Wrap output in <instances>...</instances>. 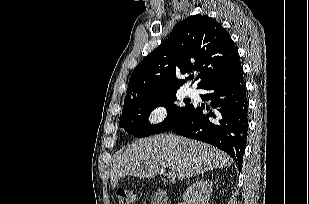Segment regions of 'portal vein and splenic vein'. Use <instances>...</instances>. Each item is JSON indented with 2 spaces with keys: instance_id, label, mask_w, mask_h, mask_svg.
Listing matches in <instances>:
<instances>
[{
  "instance_id": "portal-vein-and-splenic-vein-1",
  "label": "portal vein and splenic vein",
  "mask_w": 309,
  "mask_h": 204,
  "mask_svg": "<svg viewBox=\"0 0 309 204\" xmlns=\"http://www.w3.org/2000/svg\"><path fill=\"white\" fill-rule=\"evenodd\" d=\"M162 167L165 168L166 166L163 164ZM167 175H168V177H171V178L176 177V174L173 171L168 172Z\"/></svg>"
}]
</instances>
